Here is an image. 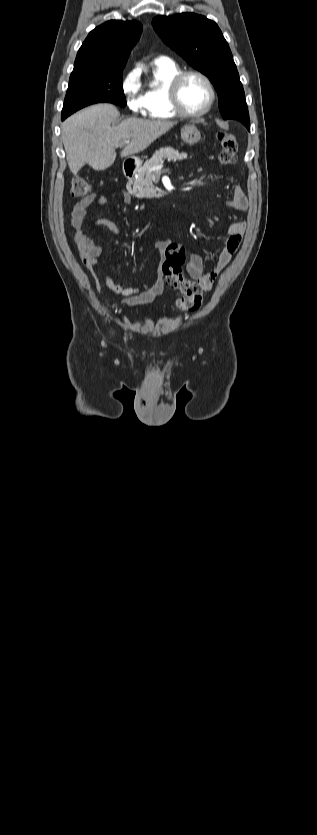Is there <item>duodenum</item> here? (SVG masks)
Returning <instances> with one entry per match:
<instances>
[{"mask_svg": "<svg viewBox=\"0 0 317 835\" xmlns=\"http://www.w3.org/2000/svg\"><path fill=\"white\" fill-rule=\"evenodd\" d=\"M137 170V165L132 160L125 161L123 165V174L126 178H131Z\"/></svg>", "mask_w": 317, "mask_h": 835, "instance_id": "1", "label": "duodenum"}]
</instances>
